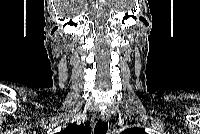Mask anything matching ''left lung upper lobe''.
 Wrapping results in <instances>:
<instances>
[{
  "instance_id": "obj_1",
  "label": "left lung upper lobe",
  "mask_w": 200,
  "mask_h": 134,
  "mask_svg": "<svg viewBox=\"0 0 200 134\" xmlns=\"http://www.w3.org/2000/svg\"><path fill=\"white\" fill-rule=\"evenodd\" d=\"M122 134H146V132L142 128H130L126 129Z\"/></svg>"
}]
</instances>
